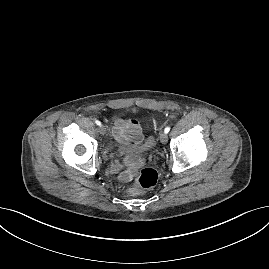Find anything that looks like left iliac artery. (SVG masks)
I'll use <instances>...</instances> for the list:
<instances>
[{
	"label": "left iliac artery",
	"instance_id": "left-iliac-artery-1",
	"mask_svg": "<svg viewBox=\"0 0 269 269\" xmlns=\"http://www.w3.org/2000/svg\"><path fill=\"white\" fill-rule=\"evenodd\" d=\"M170 129H171V128L168 126V127H166V128L164 129V132H165V133H168V132L170 131Z\"/></svg>",
	"mask_w": 269,
	"mask_h": 269
}]
</instances>
